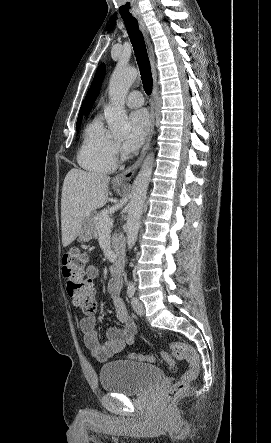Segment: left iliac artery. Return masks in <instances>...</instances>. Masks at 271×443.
Instances as JSON below:
<instances>
[{
  "label": "left iliac artery",
  "mask_w": 271,
  "mask_h": 443,
  "mask_svg": "<svg viewBox=\"0 0 271 443\" xmlns=\"http://www.w3.org/2000/svg\"><path fill=\"white\" fill-rule=\"evenodd\" d=\"M134 293H135L134 285L133 284H129L128 288H127V296L131 298L134 295Z\"/></svg>",
  "instance_id": "obj_1"
}]
</instances>
